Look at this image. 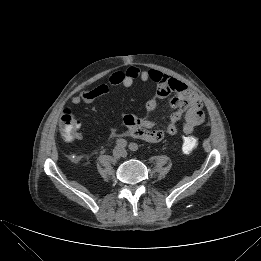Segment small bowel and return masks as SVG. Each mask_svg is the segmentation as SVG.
Wrapping results in <instances>:
<instances>
[{
    "mask_svg": "<svg viewBox=\"0 0 261 261\" xmlns=\"http://www.w3.org/2000/svg\"><path fill=\"white\" fill-rule=\"evenodd\" d=\"M137 80L143 82L152 81L156 84L154 96L145 105L147 112H154L158 106V101L170 95L172 97L169 100V105L174 111L170 115L164 130H155L156 121L152 118L128 114L123 118L122 126L113 129V136H129L156 143L162 141L166 135H176L178 133V124L182 120L184 133H192L195 127L204 122L205 113L198 94L185 83L155 69L141 70L131 66L125 70L115 71L110 75L107 83L82 91L79 95L74 96L71 102L73 105L92 103L96 99L107 95L110 87H130ZM81 137V134L76 132L74 139H80Z\"/></svg>",
    "mask_w": 261,
    "mask_h": 261,
    "instance_id": "small-bowel-1",
    "label": "small bowel"
}]
</instances>
